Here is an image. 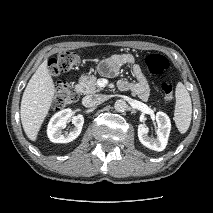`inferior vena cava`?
Masks as SVG:
<instances>
[{"instance_id": "1", "label": "inferior vena cava", "mask_w": 213, "mask_h": 213, "mask_svg": "<svg viewBox=\"0 0 213 213\" xmlns=\"http://www.w3.org/2000/svg\"><path fill=\"white\" fill-rule=\"evenodd\" d=\"M107 97L103 94L87 95L82 99V104L85 107H94L103 103Z\"/></svg>"}]
</instances>
